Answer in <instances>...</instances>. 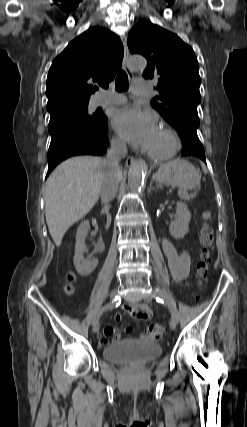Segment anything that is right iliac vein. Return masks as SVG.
Returning a JSON list of instances; mask_svg holds the SVG:
<instances>
[{"label": "right iliac vein", "mask_w": 247, "mask_h": 427, "mask_svg": "<svg viewBox=\"0 0 247 427\" xmlns=\"http://www.w3.org/2000/svg\"><path fill=\"white\" fill-rule=\"evenodd\" d=\"M117 295H118L117 290H113L110 293V298L113 300ZM99 329H100V323H99V318H98L95 321H93L92 330H93L94 333H96V332L99 331Z\"/></svg>", "instance_id": "1"}]
</instances>
